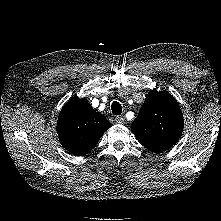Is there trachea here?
Returning <instances> with one entry per match:
<instances>
[{"label": "trachea", "instance_id": "1", "mask_svg": "<svg viewBox=\"0 0 221 221\" xmlns=\"http://www.w3.org/2000/svg\"><path fill=\"white\" fill-rule=\"evenodd\" d=\"M112 113L120 115L122 113V106L119 102L114 101L111 105Z\"/></svg>", "mask_w": 221, "mask_h": 221}]
</instances>
